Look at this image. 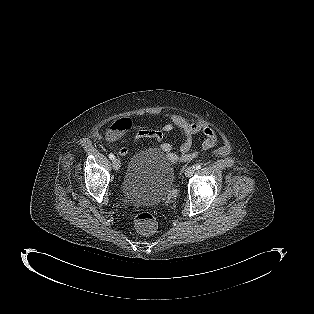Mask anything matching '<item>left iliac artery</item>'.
<instances>
[{"label": "left iliac artery", "mask_w": 314, "mask_h": 314, "mask_svg": "<svg viewBox=\"0 0 314 314\" xmlns=\"http://www.w3.org/2000/svg\"><path fill=\"white\" fill-rule=\"evenodd\" d=\"M194 168H195L196 170H199V169H201V165H200V164H197Z\"/></svg>", "instance_id": "left-iliac-artery-1"}]
</instances>
